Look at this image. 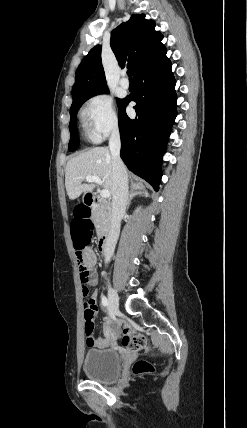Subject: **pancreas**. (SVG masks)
Masks as SVG:
<instances>
[{"mask_svg": "<svg viewBox=\"0 0 247 428\" xmlns=\"http://www.w3.org/2000/svg\"><path fill=\"white\" fill-rule=\"evenodd\" d=\"M93 221L97 226V231L100 233L109 229L110 226V213L103 205H96L93 208Z\"/></svg>", "mask_w": 247, "mask_h": 428, "instance_id": "obj_1", "label": "pancreas"}]
</instances>
